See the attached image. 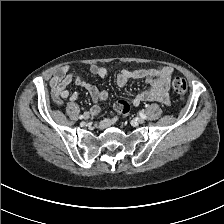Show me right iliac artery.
Wrapping results in <instances>:
<instances>
[{
    "label": "right iliac artery",
    "mask_w": 224,
    "mask_h": 224,
    "mask_svg": "<svg viewBox=\"0 0 224 224\" xmlns=\"http://www.w3.org/2000/svg\"><path fill=\"white\" fill-rule=\"evenodd\" d=\"M84 114H85V113H84ZM79 118H80V119H83V118H84V115H80Z\"/></svg>",
    "instance_id": "82829eb1"
}]
</instances>
